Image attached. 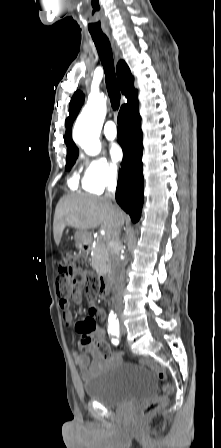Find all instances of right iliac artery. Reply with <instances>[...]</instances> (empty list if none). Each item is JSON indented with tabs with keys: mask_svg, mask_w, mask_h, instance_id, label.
<instances>
[{
	"mask_svg": "<svg viewBox=\"0 0 221 448\" xmlns=\"http://www.w3.org/2000/svg\"><path fill=\"white\" fill-rule=\"evenodd\" d=\"M108 329H109V332H110L112 335H115V336L119 337V332H120V330H119V322H118V319H116L115 317H110V318H109Z\"/></svg>",
	"mask_w": 221,
	"mask_h": 448,
	"instance_id": "1",
	"label": "right iliac artery"
}]
</instances>
